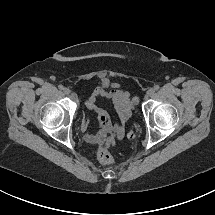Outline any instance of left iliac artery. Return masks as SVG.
Here are the masks:
<instances>
[{
    "mask_svg": "<svg viewBox=\"0 0 215 215\" xmlns=\"http://www.w3.org/2000/svg\"><path fill=\"white\" fill-rule=\"evenodd\" d=\"M159 88H160L159 85L154 86V90H156V91L159 90Z\"/></svg>",
    "mask_w": 215,
    "mask_h": 215,
    "instance_id": "1",
    "label": "left iliac artery"
}]
</instances>
